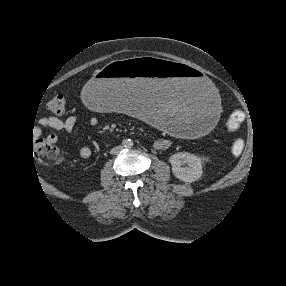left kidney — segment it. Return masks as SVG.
I'll list each match as a JSON object with an SVG mask.
<instances>
[{"label":"left kidney","mask_w":286,"mask_h":286,"mask_svg":"<svg viewBox=\"0 0 286 286\" xmlns=\"http://www.w3.org/2000/svg\"><path fill=\"white\" fill-rule=\"evenodd\" d=\"M172 172L176 178L186 183H192L202 176L201 159L188 152H178L169 158Z\"/></svg>","instance_id":"left-kidney-1"}]
</instances>
